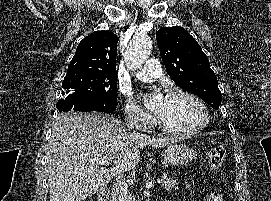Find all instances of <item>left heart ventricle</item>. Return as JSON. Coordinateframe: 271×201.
<instances>
[{"instance_id": "b2bd125f", "label": "left heart ventricle", "mask_w": 271, "mask_h": 201, "mask_svg": "<svg viewBox=\"0 0 271 201\" xmlns=\"http://www.w3.org/2000/svg\"><path fill=\"white\" fill-rule=\"evenodd\" d=\"M158 118L169 128L176 131H187L203 120L200 107L191 99L176 96L165 98Z\"/></svg>"}]
</instances>
